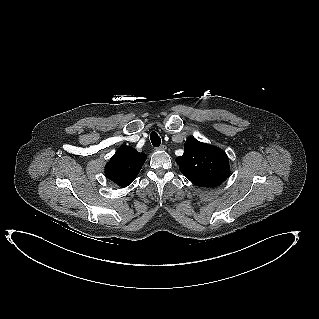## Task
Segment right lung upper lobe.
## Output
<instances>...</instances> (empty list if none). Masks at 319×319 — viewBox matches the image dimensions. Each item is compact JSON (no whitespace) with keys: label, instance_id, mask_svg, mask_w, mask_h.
<instances>
[{"label":"right lung upper lobe","instance_id":"1","mask_svg":"<svg viewBox=\"0 0 319 319\" xmlns=\"http://www.w3.org/2000/svg\"><path fill=\"white\" fill-rule=\"evenodd\" d=\"M145 160L144 153L121 146L106 165L105 175L117 185L126 187L136 178Z\"/></svg>","mask_w":319,"mask_h":319}]
</instances>
